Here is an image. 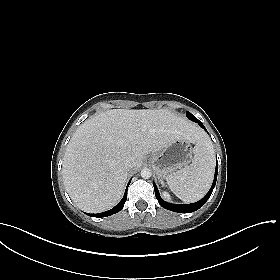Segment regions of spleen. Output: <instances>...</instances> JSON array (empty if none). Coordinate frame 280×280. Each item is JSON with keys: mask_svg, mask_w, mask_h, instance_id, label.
Returning a JSON list of instances; mask_svg holds the SVG:
<instances>
[{"mask_svg": "<svg viewBox=\"0 0 280 280\" xmlns=\"http://www.w3.org/2000/svg\"><path fill=\"white\" fill-rule=\"evenodd\" d=\"M213 147L206 139L194 147L192 163L170 174L167 184L182 201L192 203L200 200L209 190L214 174Z\"/></svg>", "mask_w": 280, "mask_h": 280, "instance_id": "obj_1", "label": "spleen"}]
</instances>
